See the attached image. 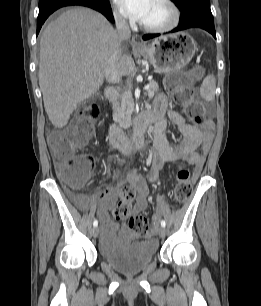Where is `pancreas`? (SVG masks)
<instances>
[{
    "mask_svg": "<svg viewBox=\"0 0 261 306\" xmlns=\"http://www.w3.org/2000/svg\"><path fill=\"white\" fill-rule=\"evenodd\" d=\"M150 88L148 91V96L153 97L158 91L159 86L155 81H150ZM134 110L133 99L130 91L122 92L118 99L113 102V119L119 123L121 127L130 125L131 115Z\"/></svg>",
    "mask_w": 261,
    "mask_h": 306,
    "instance_id": "cf45deb5",
    "label": "pancreas"
}]
</instances>
